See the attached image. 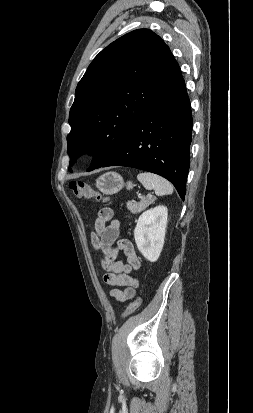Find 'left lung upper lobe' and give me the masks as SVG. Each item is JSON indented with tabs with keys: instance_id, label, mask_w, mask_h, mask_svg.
<instances>
[{
	"instance_id": "5c2ea615",
	"label": "left lung upper lobe",
	"mask_w": 253,
	"mask_h": 413,
	"mask_svg": "<svg viewBox=\"0 0 253 413\" xmlns=\"http://www.w3.org/2000/svg\"><path fill=\"white\" fill-rule=\"evenodd\" d=\"M177 65L169 47L149 29L127 33L103 49L78 83L70 109V165L83 153L93 155L88 171L103 165L124 143Z\"/></svg>"
}]
</instances>
